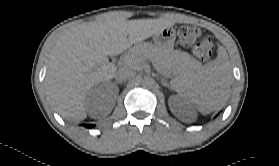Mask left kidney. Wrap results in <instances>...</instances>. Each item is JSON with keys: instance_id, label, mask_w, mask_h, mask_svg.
<instances>
[{"instance_id": "left-kidney-1", "label": "left kidney", "mask_w": 279, "mask_h": 166, "mask_svg": "<svg viewBox=\"0 0 279 166\" xmlns=\"http://www.w3.org/2000/svg\"><path fill=\"white\" fill-rule=\"evenodd\" d=\"M179 105H180L181 107H183V108L188 107V106L186 105V103L183 102V101H180V102H179Z\"/></svg>"}]
</instances>
